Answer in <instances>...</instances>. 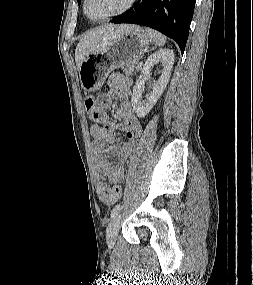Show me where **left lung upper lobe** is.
Wrapping results in <instances>:
<instances>
[{
  "instance_id": "left-lung-upper-lobe-1",
  "label": "left lung upper lobe",
  "mask_w": 253,
  "mask_h": 285,
  "mask_svg": "<svg viewBox=\"0 0 253 285\" xmlns=\"http://www.w3.org/2000/svg\"><path fill=\"white\" fill-rule=\"evenodd\" d=\"M77 2L80 4V0H77Z\"/></svg>"
}]
</instances>
